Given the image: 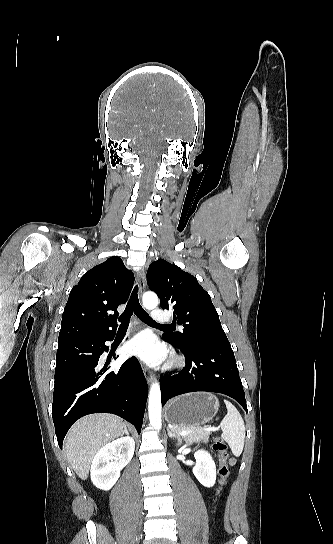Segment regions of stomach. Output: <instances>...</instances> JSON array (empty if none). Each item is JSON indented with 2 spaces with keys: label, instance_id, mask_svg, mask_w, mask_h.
I'll list each match as a JSON object with an SVG mask.
<instances>
[{
  "label": "stomach",
  "instance_id": "obj_1",
  "mask_svg": "<svg viewBox=\"0 0 333 544\" xmlns=\"http://www.w3.org/2000/svg\"><path fill=\"white\" fill-rule=\"evenodd\" d=\"M219 408L218 398L211 393L195 392L179 396L165 409L169 423L179 427H195L210 421Z\"/></svg>",
  "mask_w": 333,
  "mask_h": 544
}]
</instances>
